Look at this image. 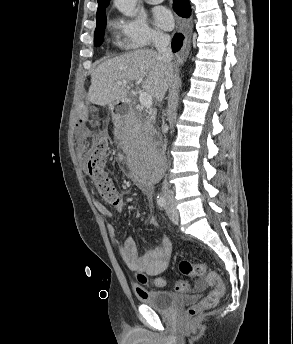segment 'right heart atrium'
Instances as JSON below:
<instances>
[{"label": "right heart atrium", "mask_w": 293, "mask_h": 344, "mask_svg": "<svg viewBox=\"0 0 293 344\" xmlns=\"http://www.w3.org/2000/svg\"><path fill=\"white\" fill-rule=\"evenodd\" d=\"M111 26L118 36L120 47L127 51L146 49L154 42L165 39L162 32L150 27L141 16H117Z\"/></svg>", "instance_id": "d8ad5b80"}]
</instances>
